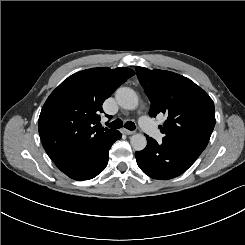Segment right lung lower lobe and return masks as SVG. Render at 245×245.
<instances>
[{
    "instance_id": "obj_1",
    "label": "right lung lower lobe",
    "mask_w": 245,
    "mask_h": 245,
    "mask_svg": "<svg viewBox=\"0 0 245 245\" xmlns=\"http://www.w3.org/2000/svg\"><path fill=\"white\" fill-rule=\"evenodd\" d=\"M121 136L119 131L114 130L98 141L72 149L55 164L71 179L77 181L92 179L105 169L109 149Z\"/></svg>"
}]
</instances>
